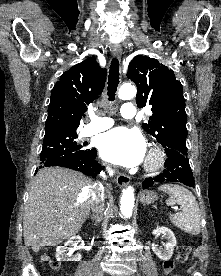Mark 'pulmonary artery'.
<instances>
[{"instance_id": "1", "label": "pulmonary artery", "mask_w": 221, "mask_h": 276, "mask_svg": "<svg viewBox=\"0 0 221 276\" xmlns=\"http://www.w3.org/2000/svg\"><path fill=\"white\" fill-rule=\"evenodd\" d=\"M121 115L127 119L134 118L136 115L135 106L131 103H125L121 108ZM112 125V119L93 115L91 122L84 128L82 133L84 136H91L110 128Z\"/></svg>"}]
</instances>
